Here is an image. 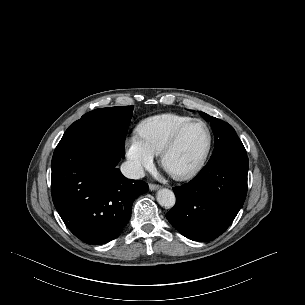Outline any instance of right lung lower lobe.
<instances>
[{
    "label": "right lung lower lobe",
    "mask_w": 305,
    "mask_h": 305,
    "mask_svg": "<svg viewBox=\"0 0 305 305\" xmlns=\"http://www.w3.org/2000/svg\"><path fill=\"white\" fill-rule=\"evenodd\" d=\"M107 140L88 139L56 148L52 199L66 227L87 244L114 239L131 216L133 201L148 191L116 168L122 158Z\"/></svg>",
    "instance_id": "98d812e1"
}]
</instances>
